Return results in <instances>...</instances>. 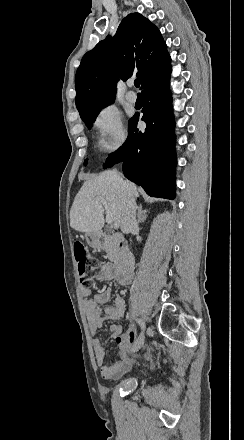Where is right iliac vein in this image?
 Wrapping results in <instances>:
<instances>
[{"mask_svg": "<svg viewBox=\"0 0 244 440\" xmlns=\"http://www.w3.org/2000/svg\"><path fill=\"white\" fill-rule=\"evenodd\" d=\"M145 338L143 335H141L139 337V339L137 341H135V343L133 344V346L131 347V351L132 352H136L138 351L144 344Z\"/></svg>", "mask_w": 244, "mask_h": 440, "instance_id": "obj_1", "label": "right iliac vein"}]
</instances>
